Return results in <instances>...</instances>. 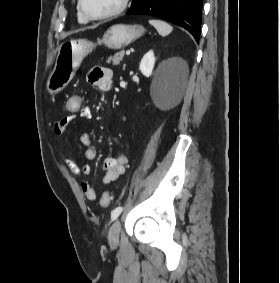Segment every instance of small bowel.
Returning a JSON list of instances; mask_svg holds the SVG:
<instances>
[{
	"label": "small bowel",
	"mask_w": 280,
	"mask_h": 283,
	"mask_svg": "<svg viewBox=\"0 0 280 283\" xmlns=\"http://www.w3.org/2000/svg\"><path fill=\"white\" fill-rule=\"evenodd\" d=\"M88 81L95 86L102 89H108L112 81V72L108 68H97L91 71L88 75ZM66 109V107H65ZM70 114L77 113L79 117L87 119L91 116V110L88 107H82L81 112H68ZM74 120L72 116H64L55 121L53 129L55 133L60 134L64 131L65 127ZM80 142L84 147V157L86 160L91 161L96 158V147L92 141L89 132H83L80 135ZM129 161V157L124 153H119L116 156L106 157L101 162V170L103 177L99 181L100 185H108L125 172V167ZM65 165L68 169L77 176H87L90 173L89 164H78L73 159H65ZM80 187L84 195L89 200H94L97 196L96 189L87 180H82Z\"/></svg>",
	"instance_id": "obj_1"
}]
</instances>
